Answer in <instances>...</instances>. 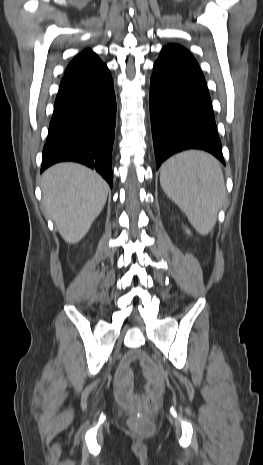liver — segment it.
I'll return each instance as SVG.
<instances>
[{"instance_id":"obj_1","label":"liver","mask_w":263,"mask_h":465,"mask_svg":"<svg viewBox=\"0 0 263 465\" xmlns=\"http://www.w3.org/2000/svg\"><path fill=\"white\" fill-rule=\"evenodd\" d=\"M47 216L69 244L79 242L103 210L109 186L96 172L76 163H59L42 176Z\"/></svg>"}]
</instances>
